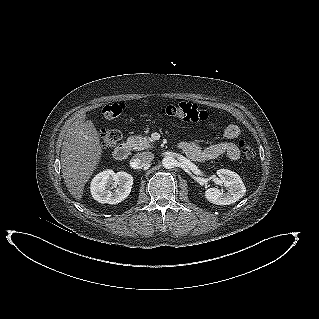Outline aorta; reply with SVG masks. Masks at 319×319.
<instances>
[{
	"label": "aorta",
	"instance_id": "obj_1",
	"mask_svg": "<svg viewBox=\"0 0 319 319\" xmlns=\"http://www.w3.org/2000/svg\"><path fill=\"white\" fill-rule=\"evenodd\" d=\"M163 167L166 169H171L176 166V160L172 156H165L162 160Z\"/></svg>",
	"mask_w": 319,
	"mask_h": 319
}]
</instances>
